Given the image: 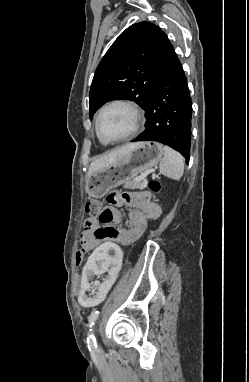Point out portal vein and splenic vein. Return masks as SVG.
<instances>
[{
    "instance_id": "portal-vein-and-splenic-vein-1",
    "label": "portal vein and splenic vein",
    "mask_w": 249,
    "mask_h": 382,
    "mask_svg": "<svg viewBox=\"0 0 249 382\" xmlns=\"http://www.w3.org/2000/svg\"><path fill=\"white\" fill-rule=\"evenodd\" d=\"M151 172H154V170H148L144 172L141 176L137 177L136 180H139V181L144 180L148 176V174Z\"/></svg>"
}]
</instances>
